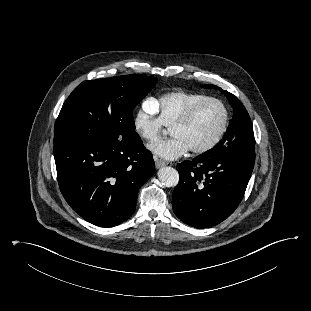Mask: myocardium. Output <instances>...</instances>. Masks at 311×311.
I'll use <instances>...</instances> for the list:
<instances>
[{
  "label": "myocardium",
  "mask_w": 311,
  "mask_h": 311,
  "mask_svg": "<svg viewBox=\"0 0 311 311\" xmlns=\"http://www.w3.org/2000/svg\"><path fill=\"white\" fill-rule=\"evenodd\" d=\"M209 102H215L218 103L222 109H223V121L221 124V127L219 129V131L217 132V134L215 135V137L206 145L199 147V148H192L190 149L193 153L195 154H202V153H206L210 150H212L222 139V137L224 136L228 124H229V110L228 107L226 106V104L215 97H206L202 100H200L199 102L195 103L194 105H192L177 121H175L172 125V127H176V126H185L187 124H189L192 119L194 118V116L196 115V113L198 112V110L205 105L206 103Z\"/></svg>",
  "instance_id": "1"
}]
</instances>
